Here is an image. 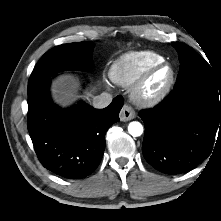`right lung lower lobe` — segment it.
Listing matches in <instances>:
<instances>
[{
  "label": "right lung lower lobe",
  "instance_id": "right-lung-lower-lobe-1",
  "mask_svg": "<svg viewBox=\"0 0 221 221\" xmlns=\"http://www.w3.org/2000/svg\"><path fill=\"white\" fill-rule=\"evenodd\" d=\"M50 79L28 91V131L41 164L66 179H81L98 167L105 134L119 121L123 99L117 96L104 109L83 102L68 110L55 106L49 96Z\"/></svg>",
  "mask_w": 221,
  "mask_h": 221
}]
</instances>
